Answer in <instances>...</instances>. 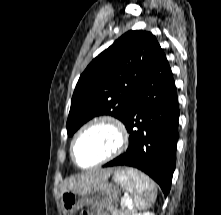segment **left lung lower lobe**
I'll return each mask as SVG.
<instances>
[{
	"mask_svg": "<svg viewBox=\"0 0 221 215\" xmlns=\"http://www.w3.org/2000/svg\"><path fill=\"white\" fill-rule=\"evenodd\" d=\"M178 119L175 83L161 50L127 104L123 123L129 132L128 149L104 167H135L155 180L167 196L176 165Z\"/></svg>",
	"mask_w": 221,
	"mask_h": 215,
	"instance_id": "0a47b994",
	"label": "left lung lower lobe"
}]
</instances>
